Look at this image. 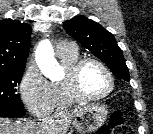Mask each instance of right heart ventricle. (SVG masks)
Segmentation results:
<instances>
[{
  "mask_svg": "<svg viewBox=\"0 0 153 134\" xmlns=\"http://www.w3.org/2000/svg\"><path fill=\"white\" fill-rule=\"evenodd\" d=\"M59 59L67 71L73 64H75L79 59V54L77 51L59 56ZM52 92V110H59L67 108L76 103L67 93L64 79L60 81H55L51 83Z\"/></svg>",
  "mask_w": 153,
  "mask_h": 134,
  "instance_id": "obj_1",
  "label": "right heart ventricle"
}]
</instances>
